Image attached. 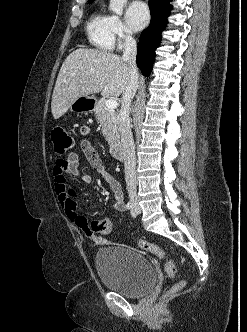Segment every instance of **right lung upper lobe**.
<instances>
[{
	"instance_id": "obj_1",
	"label": "right lung upper lobe",
	"mask_w": 247,
	"mask_h": 332,
	"mask_svg": "<svg viewBox=\"0 0 247 332\" xmlns=\"http://www.w3.org/2000/svg\"><path fill=\"white\" fill-rule=\"evenodd\" d=\"M89 1V3H92L94 0H88Z\"/></svg>"
}]
</instances>
